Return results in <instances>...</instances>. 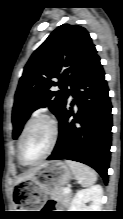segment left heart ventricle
I'll return each mask as SVG.
<instances>
[{"mask_svg": "<svg viewBox=\"0 0 123 219\" xmlns=\"http://www.w3.org/2000/svg\"><path fill=\"white\" fill-rule=\"evenodd\" d=\"M51 138L49 126L42 121L31 126L23 142V156L26 161L34 162L46 152Z\"/></svg>", "mask_w": 123, "mask_h": 219, "instance_id": "b2bd125f", "label": "left heart ventricle"}]
</instances>
